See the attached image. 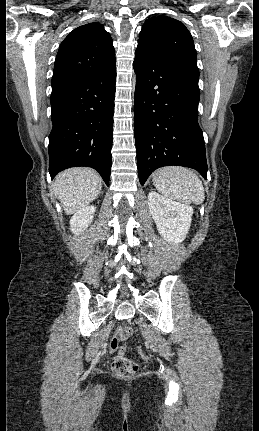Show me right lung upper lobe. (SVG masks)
<instances>
[{
	"instance_id": "obj_1",
	"label": "right lung upper lobe",
	"mask_w": 259,
	"mask_h": 431,
	"mask_svg": "<svg viewBox=\"0 0 259 431\" xmlns=\"http://www.w3.org/2000/svg\"><path fill=\"white\" fill-rule=\"evenodd\" d=\"M116 68L110 34L94 22L74 29L61 43L56 56L52 84L98 75Z\"/></svg>"
}]
</instances>
